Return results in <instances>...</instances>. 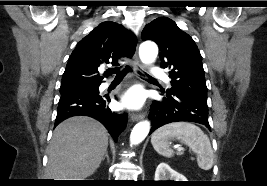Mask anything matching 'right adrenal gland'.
Masks as SVG:
<instances>
[{"label":"right adrenal gland","instance_id":"right-adrenal-gland-1","mask_svg":"<svg viewBox=\"0 0 267 186\" xmlns=\"http://www.w3.org/2000/svg\"><path fill=\"white\" fill-rule=\"evenodd\" d=\"M105 159H107V163L110 162V160H109V155H108V151L105 152V155H104L102 161H104Z\"/></svg>","mask_w":267,"mask_h":186}]
</instances>
